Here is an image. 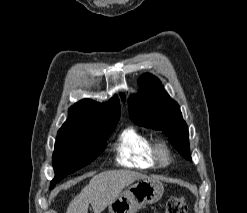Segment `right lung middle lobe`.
<instances>
[{"label": "right lung middle lobe", "instance_id": "dd1d6c3e", "mask_svg": "<svg viewBox=\"0 0 247 213\" xmlns=\"http://www.w3.org/2000/svg\"><path fill=\"white\" fill-rule=\"evenodd\" d=\"M117 123L87 133H58L53 153L54 185L70 173L86 166L105 149L106 141Z\"/></svg>", "mask_w": 247, "mask_h": 213}]
</instances>
